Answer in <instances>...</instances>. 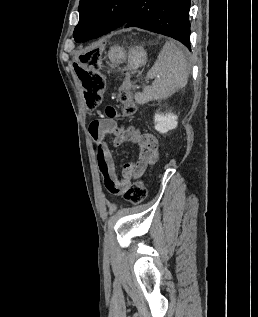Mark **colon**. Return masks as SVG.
Wrapping results in <instances>:
<instances>
[{
    "label": "colon",
    "instance_id": "1",
    "mask_svg": "<svg viewBox=\"0 0 258 317\" xmlns=\"http://www.w3.org/2000/svg\"><path fill=\"white\" fill-rule=\"evenodd\" d=\"M101 51L98 48H90L78 52L73 59V69L77 74L81 85L86 105L89 109L98 107L103 98L105 80L100 73ZM120 108L117 110L112 106L106 108L108 118L118 115L124 118H131L136 112V104L133 94L126 86L118 90ZM124 199L132 204H139L146 198V188L142 181L130 184L123 192Z\"/></svg>",
    "mask_w": 258,
    "mask_h": 317
}]
</instances>
